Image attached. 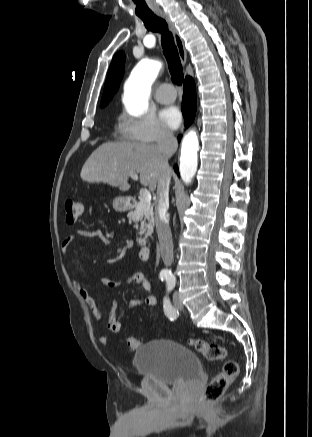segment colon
Returning <instances> with one entry per match:
<instances>
[{
    "instance_id": "obj_1",
    "label": "colon",
    "mask_w": 312,
    "mask_h": 437,
    "mask_svg": "<svg viewBox=\"0 0 312 437\" xmlns=\"http://www.w3.org/2000/svg\"><path fill=\"white\" fill-rule=\"evenodd\" d=\"M64 209L66 222L74 224L84 213V203L77 199L68 198L65 201ZM142 342V338L129 337L127 339V347L129 350H136ZM188 344L211 362L224 360L227 355L225 347L217 343L207 342L202 339H189ZM238 373V363L234 360H227L220 373L207 384L201 397L202 401L210 402L220 398L229 384L237 377Z\"/></svg>"
}]
</instances>
